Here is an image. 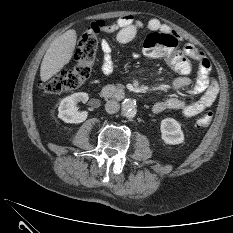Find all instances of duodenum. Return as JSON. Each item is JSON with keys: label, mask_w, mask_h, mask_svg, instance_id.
<instances>
[{"label": "duodenum", "mask_w": 233, "mask_h": 233, "mask_svg": "<svg viewBox=\"0 0 233 233\" xmlns=\"http://www.w3.org/2000/svg\"><path fill=\"white\" fill-rule=\"evenodd\" d=\"M100 95L105 99H114L124 96V91L115 86H105L101 89Z\"/></svg>", "instance_id": "1"}]
</instances>
